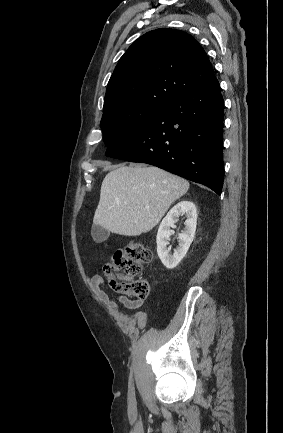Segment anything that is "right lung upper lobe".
<instances>
[{
  "instance_id": "cb5924a9",
  "label": "right lung upper lobe",
  "mask_w": 283,
  "mask_h": 433,
  "mask_svg": "<svg viewBox=\"0 0 283 433\" xmlns=\"http://www.w3.org/2000/svg\"><path fill=\"white\" fill-rule=\"evenodd\" d=\"M216 80L204 49L191 35L156 29L120 58L107 86L104 111L126 104L165 107Z\"/></svg>"
}]
</instances>
